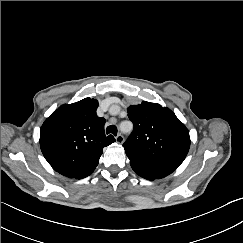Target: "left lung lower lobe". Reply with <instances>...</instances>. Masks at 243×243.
Wrapping results in <instances>:
<instances>
[{
    "mask_svg": "<svg viewBox=\"0 0 243 243\" xmlns=\"http://www.w3.org/2000/svg\"><path fill=\"white\" fill-rule=\"evenodd\" d=\"M130 159L132 169L141 177L154 180L163 178L171 174L178 166L159 163L149 160L140 159L134 155H127Z\"/></svg>",
    "mask_w": 243,
    "mask_h": 243,
    "instance_id": "0a47b994",
    "label": "left lung lower lobe"
}]
</instances>
